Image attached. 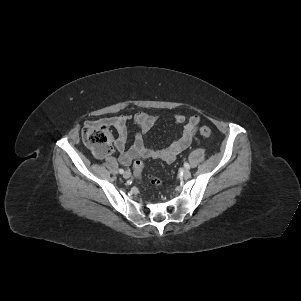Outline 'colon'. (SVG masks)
<instances>
[{
	"label": "colon",
	"instance_id": "colon-1",
	"mask_svg": "<svg viewBox=\"0 0 301 301\" xmlns=\"http://www.w3.org/2000/svg\"><path fill=\"white\" fill-rule=\"evenodd\" d=\"M199 133L204 137H210L212 130L208 126H200ZM82 138L84 143L91 148L92 152L97 157H105L112 151L111 148V131L108 125L104 122L92 121L85 124L82 129ZM144 167V161L139 159L134 162V173L137 178L141 177V172ZM156 185L161 184L157 178L153 179Z\"/></svg>",
	"mask_w": 301,
	"mask_h": 301
}]
</instances>
